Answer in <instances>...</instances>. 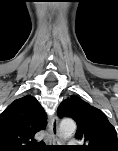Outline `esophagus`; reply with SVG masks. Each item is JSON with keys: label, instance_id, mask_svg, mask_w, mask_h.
<instances>
[{"label": "esophagus", "instance_id": "esophagus-1", "mask_svg": "<svg viewBox=\"0 0 118 151\" xmlns=\"http://www.w3.org/2000/svg\"><path fill=\"white\" fill-rule=\"evenodd\" d=\"M58 117L57 116H52L50 118V123H49V142L52 144H57L60 142L59 139V131H58Z\"/></svg>", "mask_w": 118, "mask_h": 151}]
</instances>
